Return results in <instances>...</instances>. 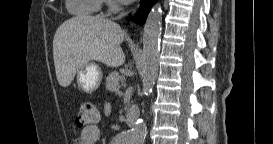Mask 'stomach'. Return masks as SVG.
Masks as SVG:
<instances>
[{
	"mask_svg": "<svg viewBox=\"0 0 273 144\" xmlns=\"http://www.w3.org/2000/svg\"><path fill=\"white\" fill-rule=\"evenodd\" d=\"M103 74L94 62H88L77 71V84L87 93H92L100 86Z\"/></svg>",
	"mask_w": 273,
	"mask_h": 144,
	"instance_id": "obj_1",
	"label": "stomach"
}]
</instances>
